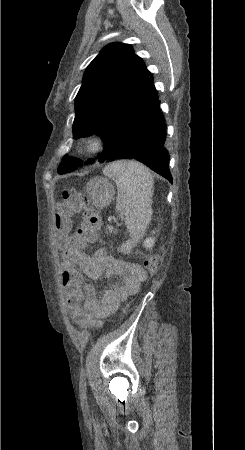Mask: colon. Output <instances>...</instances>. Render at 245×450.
I'll return each instance as SVG.
<instances>
[{
  "label": "colon",
  "mask_w": 245,
  "mask_h": 450,
  "mask_svg": "<svg viewBox=\"0 0 245 450\" xmlns=\"http://www.w3.org/2000/svg\"><path fill=\"white\" fill-rule=\"evenodd\" d=\"M77 213L82 215V221L77 230L71 233V216ZM54 226L60 249L81 251L88 244L97 241L101 221L96 205L86 193L67 188L62 191L61 198L56 202ZM158 264L157 257L144 260V272L150 276L154 275L158 270Z\"/></svg>",
  "instance_id": "1"
}]
</instances>
